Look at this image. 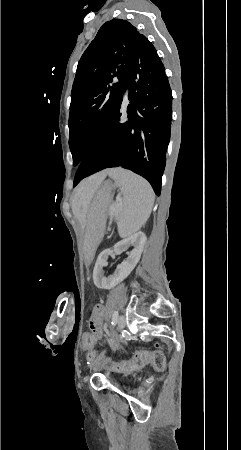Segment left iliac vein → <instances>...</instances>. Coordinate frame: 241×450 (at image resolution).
<instances>
[{"label":"left iliac vein","instance_id":"4c4485c4","mask_svg":"<svg viewBox=\"0 0 241 450\" xmlns=\"http://www.w3.org/2000/svg\"><path fill=\"white\" fill-rule=\"evenodd\" d=\"M125 325H126L125 318H124L123 316H121V317L118 319L117 329H118V330H122V329L125 327ZM118 340H119L118 337L113 338V340H112V345H114ZM103 353H104V352H103ZM103 353H102V354H103Z\"/></svg>","mask_w":241,"mask_h":450}]
</instances>
